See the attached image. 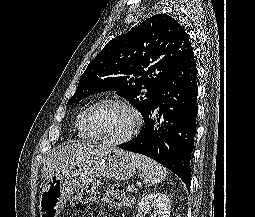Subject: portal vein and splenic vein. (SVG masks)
<instances>
[{
    "label": "portal vein and splenic vein",
    "instance_id": "1",
    "mask_svg": "<svg viewBox=\"0 0 255 217\" xmlns=\"http://www.w3.org/2000/svg\"><path fill=\"white\" fill-rule=\"evenodd\" d=\"M133 189H134L133 186H128V187H127V191H128V192H132Z\"/></svg>",
    "mask_w": 255,
    "mask_h": 217
}]
</instances>
